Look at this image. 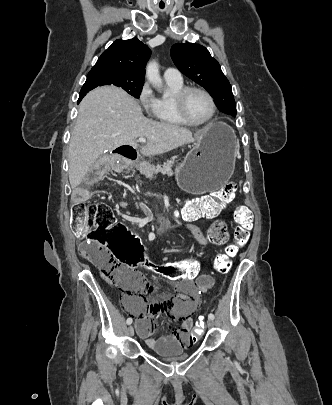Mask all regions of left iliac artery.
I'll return each mask as SVG.
<instances>
[{
	"instance_id": "obj_1",
	"label": "left iliac artery",
	"mask_w": 332,
	"mask_h": 405,
	"mask_svg": "<svg viewBox=\"0 0 332 405\" xmlns=\"http://www.w3.org/2000/svg\"><path fill=\"white\" fill-rule=\"evenodd\" d=\"M208 318L211 319V320H214L215 316H214V314L210 313V314L208 315Z\"/></svg>"
}]
</instances>
